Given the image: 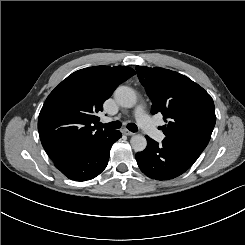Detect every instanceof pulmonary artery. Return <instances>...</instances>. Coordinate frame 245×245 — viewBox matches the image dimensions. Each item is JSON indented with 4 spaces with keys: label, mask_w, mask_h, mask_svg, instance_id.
Segmentation results:
<instances>
[{
    "label": "pulmonary artery",
    "mask_w": 245,
    "mask_h": 245,
    "mask_svg": "<svg viewBox=\"0 0 245 245\" xmlns=\"http://www.w3.org/2000/svg\"><path fill=\"white\" fill-rule=\"evenodd\" d=\"M136 115V122L138 126L144 131V134L150 138L154 143H159L164 138V133L157 128L156 122L148 115L149 109L145 103H138L134 109Z\"/></svg>",
    "instance_id": "obj_1"
}]
</instances>
